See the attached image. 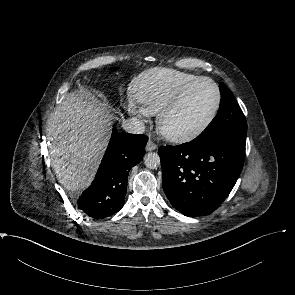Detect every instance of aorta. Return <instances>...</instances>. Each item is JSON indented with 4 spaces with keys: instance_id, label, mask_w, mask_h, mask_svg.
Returning <instances> with one entry per match:
<instances>
[{
    "instance_id": "obj_1",
    "label": "aorta",
    "mask_w": 295,
    "mask_h": 295,
    "mask_svg": "<svg viewBox=\"0 0 295 295\" xmlns=\"http://www.w3.org/2000/svg\"><path fill=\"white\" fill-rule=\"evenodd\" d=\"M144 164L149 169H156L160 165V157L155 152H149L144 156Z\"/></svg>"
}]
</instances>
